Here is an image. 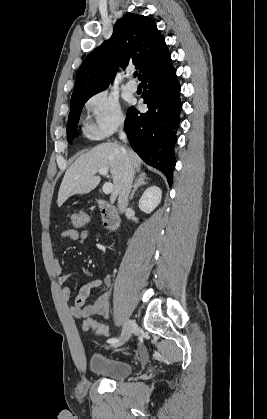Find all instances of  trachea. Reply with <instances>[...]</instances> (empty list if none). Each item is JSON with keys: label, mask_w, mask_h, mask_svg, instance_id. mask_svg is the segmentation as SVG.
I'll return each instance as SVG.
<instances>
[{"label": "trachea", "mask_w": 267, "mask_h": 419, "mask_svg": "<svg viewBox=\"0 0 267 419\" xmlns=\"http://www.w3.org/2000/svg\"><path fill=\"white\" fill-rule=\"evenodd\" d=\"M138 75V72L136 71V72H134V76L136 77Z\"/></svg>", "instance_id": "1"}]
</instances>
